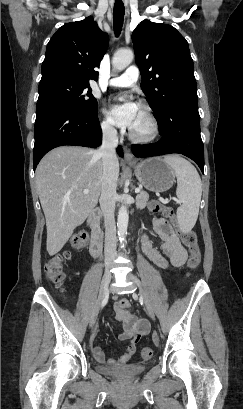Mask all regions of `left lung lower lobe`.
Returning a JSON list of instances; mask_svg holds the SVG:
<instances>
[{
    "label": "left lung lower lobe",
    "mask_w": 243,
    "mask_h": 409,
    "mask_svg": "<svg viewBox=\"0 0 243 409\" xmlns=\"http://www.w3.org/2000/svg\"><path fill=\"white\" fill-rule=\"evenodd\" d=\"M157 122L162 138L156 143L133 145V154L136 157L183 154L194 160L204 173V149L197 98L177 103Z\"/></svg>",
    "instance_id": "1"
}]
</instances>
